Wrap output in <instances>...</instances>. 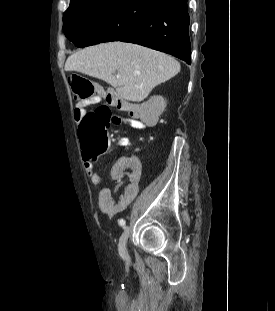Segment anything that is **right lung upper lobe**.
<instances>
[{"instance_id":"1","label":"right lung upper lobe","mask_w":275,"mask_h":311,"mask_svg":"<svg viewBox=\"0 0 275 311\" xmlns=\"http://www.w3.org/2000/svg\"><path fill=\"white\" fill-rule=\"evenodd\" d=\"M77 1H83V0H70V3H73V2H77ZM160 1H167V0H160Z\"/></svg>"}]
</instances>
